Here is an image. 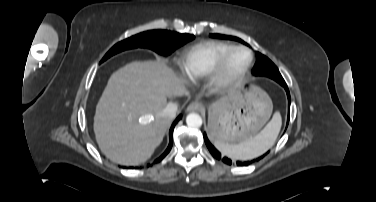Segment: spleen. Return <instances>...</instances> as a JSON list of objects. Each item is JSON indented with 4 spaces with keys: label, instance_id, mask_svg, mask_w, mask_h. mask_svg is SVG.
<instances>
[{
    "label": "spleen",
    "instance_id": "obj_1",
    "mask_svg": "<svg viewBox=\"0 0 376 202\" xmlns=\"http://www.w3.org/2000/svg\"><path fill=\"white\" fill-rule=\"evenodd\" d=\"M281 125V115L280 112L277 111L273 115L272 120L255 137L236 145L220 141H215L214 145L223 155L228 156L231 159H253L262 155L273 146L280 132Z\"/></svg>",
    "mask_w": 376,
    "mask_h": 202
}]
</instances>
